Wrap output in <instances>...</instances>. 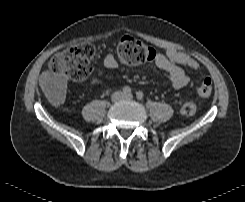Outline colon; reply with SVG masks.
Listing matches in <instances>:
<instances>
[{
    "label": "colon",
    "instance_id": "colon-1",
    "mask_svg": "<svg viewBox=\"0 0 245 202\" xmlns=\"http://www.w3.org/2000/svg\"><path fill=\"white\" fill-rule=\"evenodd\" d=\"M94 53L95 48L90 43L67 47L51 58L49 69L52 73L64 75L73 81L84 80L92 72ZM117 56L122 62L137 66L151 62L156 56V51L138 38L132 35H125L117 42ZM177 62L192 69L198 68L197 61L185 53L177 55ZM212 93V80L210 78L203 79L197 88V95L201 98H207ZM50 97L59 101L62 98V94L59 90H51ZM181 113L186 117L193 116L196 113L195 103L186 102L181 108Z\"/></svg>",
    "mask_w": 245,
    "mask_h": 202
}]
</instances>
